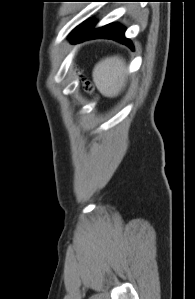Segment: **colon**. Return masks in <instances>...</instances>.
Wrapping results in <instances>:
<instances>
[{"label": "colon", "mask_w": 195, "mask_h": 299, "mask_svg": "<svg viewBox=\"0 0 195 299\" xmlns=\"http://www.w3.org/2000/svg\"><path fill=\"white\" fill-rule=\"evenodd\" d=\"M85 84H86V88H87V89H90V85H89V83H88V82H85Z\"/></svg>", "instance_id": "1"}]
</instances>
